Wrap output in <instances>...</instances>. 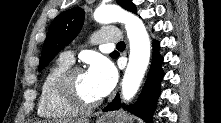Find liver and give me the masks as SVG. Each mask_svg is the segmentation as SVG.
<instances>
[{
  "label": "liver",
  "mask_w": 221,
  "mask_h": 123,
  "mask_svg": "<svg viewBox=\"0 0 221 123\" xmlns=\"http://www.w3.org/2000/svg\"><path fill=\"white\" fill-rule=\"evenodd\" d=\"M71 123H84V120L78 119V120H71Z\"/></svg>",
  "instance_id": "6515ba94"
}]
</instances>
